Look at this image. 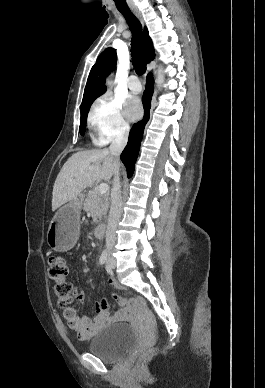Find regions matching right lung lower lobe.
I'll return each mask as SVG.
<instances>
[{"instance_id": "1", "label": "right lung lower lobe", "mask_w": 265, "mask_h": 388, "mask_svg": "<svg viewBox=\"0 0 265 388\" xmlns=\"http://www.w3.org/2000/svg\"><path fill=\"white\" fill-rule=\"evenodd\" d=\"M154 90V79L152 74L147 77L146 88L143 94L142 102L144 106V117L141 121L134 124L129 134V141L123 150L120 158L127 169L128 178L132 177L137 156L139 154L140 142L143 138V132L146 123L149 120V112L151 108V99Z\"/></svg>"}]
</instances>
